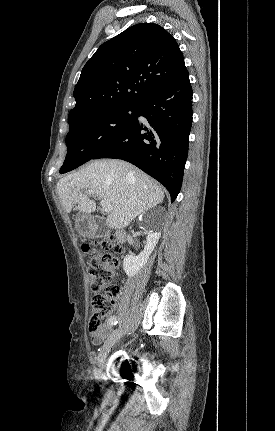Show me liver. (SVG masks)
I'll list each match as a JSON object with an SVG mask.
<instances>
[{
    "mask_svg": "<svg viewBox=\"0 0 275 431\" xmlns=\"http://www.w3.org/2000/svg\"><path fill=\"white\" fill-rule=\"evenodd\" d=\"M88 190L112 205L107 223L114 229L125 228L139 214L164 199V191L155 180L132 164L118 159L92 161L57 183V193L67 213L75 204L74 210L85 214L96 210V203L84 193Z\"/></svg>",
    "mask_w": 275,
    "mask_h": 431,
    "instance_id": "obj_1",
    "label": "liver"
}]
</instances>
